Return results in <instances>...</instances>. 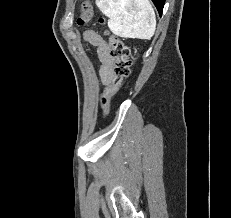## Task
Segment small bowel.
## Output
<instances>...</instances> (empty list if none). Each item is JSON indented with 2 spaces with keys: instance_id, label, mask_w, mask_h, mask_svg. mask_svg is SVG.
Listing matches in <instances>:
<instances>
[{
  "instance_id": "1",
  "label": "small bowel",
  "mask_w": 231,
  "mask_h": 218,
  "mask_svg": "<svg viewBox=\"0 0 231 218\" xmlns=\"http://www.w3.org/2000/svg\"><path fill=\"white\" fill-rule=\"evenodd\" d=\"M84 40L97 48L98 58L101 62L100 78L105 86H108L114 78L115 60L111 54L109 45L93 30H87L83 34Z\"/></svg>"
}]
</instances>
